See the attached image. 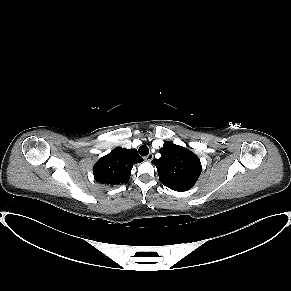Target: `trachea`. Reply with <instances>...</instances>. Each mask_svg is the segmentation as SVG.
Wrapping results in <instances>:
<instances>
[{
    "label": "trachea",
    "mask_w": 291,
    "mask_h": 291,
    "mask_svg": "<svg viewBox=\"0 0 291 291\" xmlns=\"http://www.w3.org/2000/svg\"><path fill=\"white\" fill-rule=\"evenodd\" d=\"M139 153H140V155H142V156H146V155H148V153H149V148H148L146 145H142V146H140V148H139Z\"/></svg>",
    "instance_id": "1"
}]
</instances>
